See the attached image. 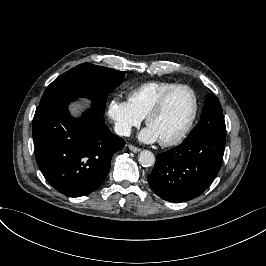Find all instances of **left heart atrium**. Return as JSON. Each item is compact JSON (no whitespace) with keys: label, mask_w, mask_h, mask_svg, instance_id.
Instances as JSON below:
<instances>
[{"label":"left heart atrium","mask_w":266,"mask_h":266,"mask_svg":"<svg viewBox=\"0 0 266 266\" xmlns=\"http://www.w3.org/2000/svg\"><path fill=\"white\" fill-rule=\"evenodd\" d=\"M140 138L145 142H155L159 140L157 133L149 125L141 131Z\"/></svg>","instance_id":"1"}]
</instances>
